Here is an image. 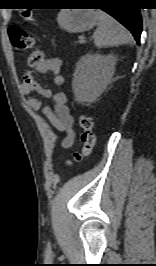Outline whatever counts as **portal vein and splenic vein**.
Returning a JSON list of instances; mask_svg holds the SVG:
<instances>
[{
    "instance_id": "18ae733b",
    "label": "portal vein and splenic vein",
    "mask_w": 156,
    "mask_h": 266,
    "mask_svg": "<svg viewBox=\"0 0 156 266\" xmlns=\"http://www.w3.org/2000/svg\"><path fill=\"white\" fill-rule=\"evenodd\" d=\"M85 41L83 39L80 40V43H84Z\"/></svg>"
}]
</instances>
